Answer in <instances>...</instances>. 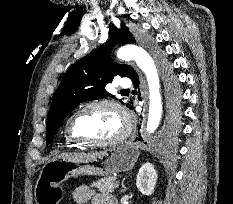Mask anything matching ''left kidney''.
<instances>
[{
    "instance_id": "obj_1",
    "label": "left kidney",
    "mask_w": 233,
    "mask_h": 204,
    "mask_svg": "<svg viewBox=\"0 0 233 204\" xmlns=\"http://www.w3.org/2000/svg\"><path fill=\"white\" fill-rule=\"evenodd\" d=\"M157 181V172L151 163H145L139 169L136 186L139 191L146 196L151 195L154 192Z\"/></svg>"
}]
</instances>
